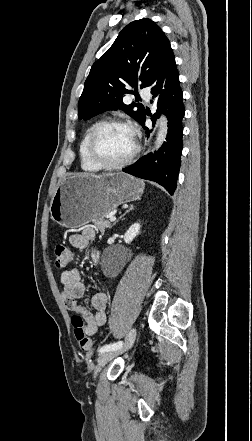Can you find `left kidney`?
Instances as JSON below:
<instances>
[{"mask_svg": "<svg viewBox=\"0 0 252 441\" xmlns=\"http://www.w3.org/2000/svg\"><path fill=\"white\" fill-rule=\"evenodd\" d=\"M140 224L135 223L126 231L124 235V241L125 243L129 244L133 241V239L140 233Z\"/></svg>", "mask_w": 252, "mask_h": 441, "instance_id": "left-kidney-1", "label": "left kidney"}]
</instances>
